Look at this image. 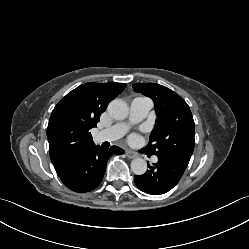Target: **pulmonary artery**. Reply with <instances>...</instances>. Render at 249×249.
<instances>
[{
	"mask_svg": "<svg viewBox=\"0 0 249 249\" xmlns=\"http://www.w3.org/2000/svg\"><path fill=\"white\" fill-rule=\"evenodd\" d=\"M153 106L152 100L147 97H136L130 103L128 122H120L97 133L98 142L114 141L121 138L128 130L129 125L143 120ZM156 162L157 158H153Z\"/></svg>",
	"mask_w": 249,
	"mask_h": 249,
	"instance_id": "pulmonary-artery-1",
	"label": "pulmonary artery"
}]
</instances>
